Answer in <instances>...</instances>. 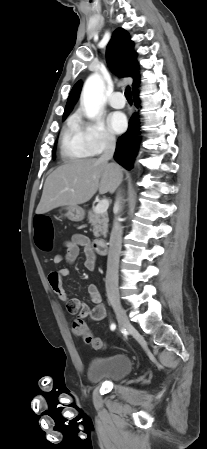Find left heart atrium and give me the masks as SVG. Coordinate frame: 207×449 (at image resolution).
Instances as JSON below:
<instances>
[{
  "mask_svg": "<svg viewBox=\"0 0 207 449\" xmlns=\"http://www.w3.org/2000/svg\"><path fill=\"white\" fill-rule=\"evenodd\" d=\"M110 129L115 133H122L127 127V119L123 113L114 112L108 118Z\"/></svg>",
  "mask_w": 207,
  "mask_h": 449,
  "instance_id": "1",
  "label": "left heart atrium"
}]
</instances>
